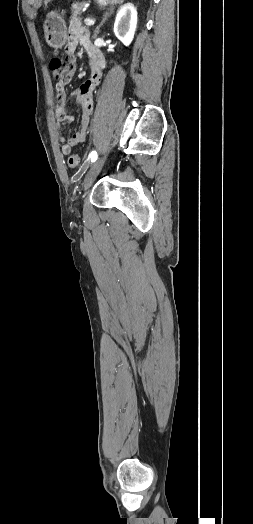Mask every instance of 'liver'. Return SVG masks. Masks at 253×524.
<instances>
[{
  "label": "liver",
  "instance_id": "6515ba94",
  "mask_svg": "<svg viewBox=\"0 0 253 524\" xmlns=\"http://www.w3.org/2000/svg\"><path fill=\"white\" fill-rule=\"evenodd\" d=\"M51 0H45V4H47L48 2H50Z\"/></svg>",
  "mask_w": 253,
  "mask_h": 524
}]
</instances>
